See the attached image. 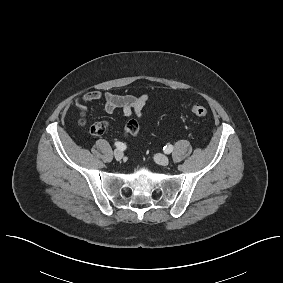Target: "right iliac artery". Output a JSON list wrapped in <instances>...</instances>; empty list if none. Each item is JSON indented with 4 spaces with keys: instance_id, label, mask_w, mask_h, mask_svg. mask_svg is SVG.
I'll return each mask as SVG.
<instances>
[{
    "instance_id": "obj_1",
    "label": "right iliac artery",
    "mask_w": 283,
    "mask_h": 283,
    "mask_svg": "<svg viewBox=\"0 0 283 283\" xmlns=\"http://www.w3.org/2000/svg\"><path fill=\"white\" fill-rule=\"evenodd\" d=\"M115 145H116V147H118L120 150H125V149H126V145H125L124 143L116 142Z\"/></svg>"
}]
</instances>
